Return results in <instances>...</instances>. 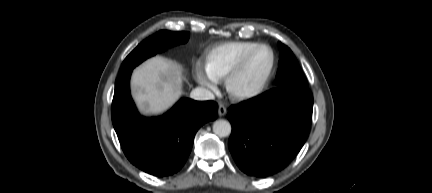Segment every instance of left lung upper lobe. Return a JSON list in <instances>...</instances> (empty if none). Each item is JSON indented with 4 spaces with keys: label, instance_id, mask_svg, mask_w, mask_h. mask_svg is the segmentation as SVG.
<instances>
[{
    "label": "left lung upper lobe",
    "instance_id": "left-lung-upper-lobe-1",
    "mask_svg": "<svg viewBox=\"0 0 432 193\" xmlns=\"http://www.w3.org/2000/svg\"><path fill=\"white\" fill-rule=\"evenodd\" d=\"M278 45L280 60L276 75L277 88L308 89L307 81L292 51L280 42Z\"/></svg>",
    "mask_w": 432,
    "mask_h": 193
}]
</instances>
